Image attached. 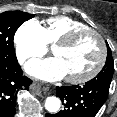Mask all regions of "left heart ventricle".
Here are the masks:
<instances>
[{
	"mask_svg": "<svg viewBox=\"0 0 117 117\" xmlns=\"http://www.w3.org/2000/svg\"><path fill=\"white\" fill-rule=\"evenodd\" d=\"M65 70L66 77H77L89 72L98 62L100 46L92 34H85L70 46L54 50Z\"/></svg>",
	"mask_w": 117,
	"mask_h": 117,
	"instance_id": "obj_1",
	"label": "left heart ventricle"
}]
</instances>
